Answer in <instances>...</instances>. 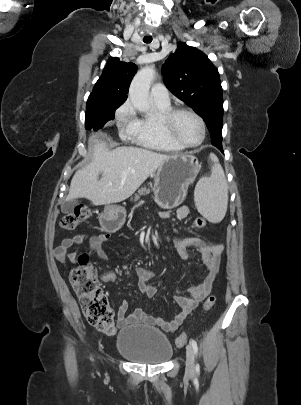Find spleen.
Instances as JSON below:
<instances>
[{"mask_svg": "<svg viewBox=\"0 0 301 405\" xmlns=\"http://www.w3.org/2000/svg\"><path fill=\"white\" fill-rule=\"evenodd\" d=\"M210 177L201 178L195 189V200L202 215L211 222H220L227 211L228 191L224 171L214 154Z\"/></svg>", "mask_w": 301, "mask_h": 405, "instance_id": "spleen-1", "label": "spleen"}]
</instances>
